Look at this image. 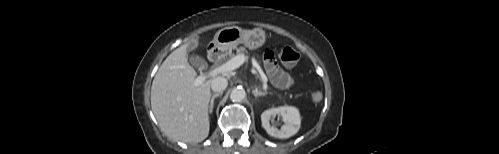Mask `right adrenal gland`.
Masks as SVG:
<instances>
[{
    "label": "right adrenal gland",
    "mask_w": 499,
    "mask_h": 154,
    "mask_svg": "<svg viewBox=\"0 0 499 154\" xmlns=\"http://www.w3.org/2000/svg\"><path fill=\"white\" fill-rule=\"evenodd\" d=\"M221 95H222L221 92L220 93H215V94L212 95L211 100H210V104H209V112L210 113H212V111H213L215 98L218 97V96H221Z\"/></svg>",
    "instance_id": "obj_1"
}]
</instances>
